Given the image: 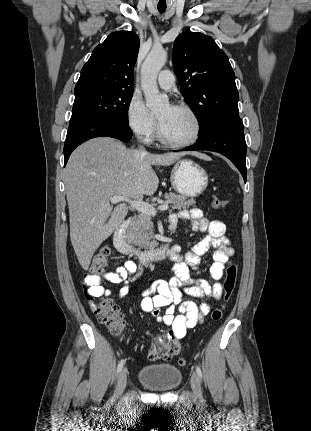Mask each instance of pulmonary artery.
<instances>
[{"label":"pulmonary artery","mask_w":311,"mask_h":431,"mask_svg":"<svg viewBox=\"0 0 311 431\" xmlns=\"http://www.w3.org/2000/svg\"><path fill=\"white\" fill-rule=\"evenodd\" d=\"M159 87L163 90H171L175 87V77L173 73L169 70H162L158 75Z\"/></svg>","instance_id":"pulmonary-artery-1"}]
</instances>
